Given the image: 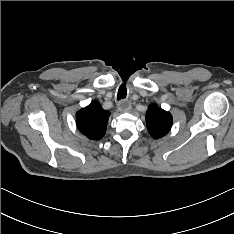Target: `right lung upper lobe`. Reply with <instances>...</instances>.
<instances>
[{"mask_svg": "<svg viewBox=\"0 0 234 234\" xmlns=\"http://www.w3.org/2000/svg\"><path fill=\"white\" fill-rule=\"evenodd\" d=\"M109 116V111L104 110L97 101H92L77 113V127L89 139L99 140L105 135Z\"/></svg>", "mask_w": 234, "mask_h": 234, "instance_id": "cb5924a9", "label": "right lung upper lobe"}]
</instances>
